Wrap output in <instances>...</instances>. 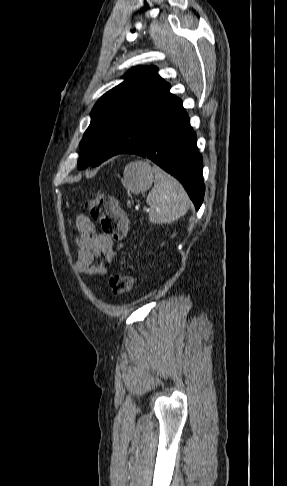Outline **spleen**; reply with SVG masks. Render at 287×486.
<instances>
[{
	"label": "spleen",
	"instance_id": "obj_1",
	"mask_svg": "<svg viewBox=\"0 0 287 486\" xmlns=\"http://www.w3.org/2000/svg\"><path fill=\"white\" fill-rule=\"evenodd\" d=\"M154 187L149 192L146 203L150 206L151 223H172L184 216L190 207V199L183 186L174 177L153 167Z\"/></svg>",
	"mask_w": 287,
	"mask_h": 486
}]
</instances>
